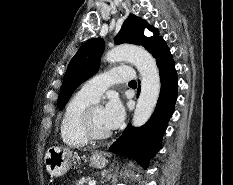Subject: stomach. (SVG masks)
<instances>
[{"mask_svg":"<svg viewBox=\"0 0 233 185\" xmlns=\"http://www.w3.org/2000/svg\"><path fill=\"white\" fill-rule=\"evenodd\" d=\"M80 162L77 153L67 148L50 147L44 158L47 172L51 177L63 176L73 165ZM90 163L96 168H103L106 163V157L100 152H94L90 157Z\"/></svg>","mask_w":233,"mask_h":185,"instance_id":"obj_1","label":"stomach"}]
</instances>
